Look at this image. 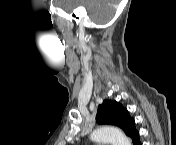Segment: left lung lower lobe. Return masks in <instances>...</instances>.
<instances>
[{
	"mask_svg": "<svg viewBox=\"0 0 176 145\" xmlns=\"http://www.w3.org/2000/svg\"><path fill=\"white\" fill-rule=\"evenodd\" d=\"M132 142L134 145H141L140 140H139V134L134 137Z\"/></svg>",
	"mask_w": 176,
	"mask_h": 145,
	"instance_id": "1",
	"label": "left lung lower lobe"
}]
</instances>
